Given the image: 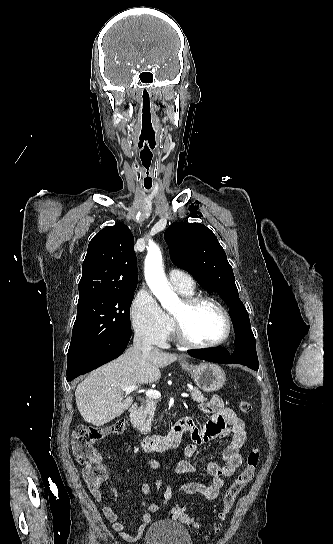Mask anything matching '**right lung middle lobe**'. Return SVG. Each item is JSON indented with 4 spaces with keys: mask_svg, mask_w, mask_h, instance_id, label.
Here are the masks:
<instances>
[{
    "mask_svg": "<svg viewBox=\"0 0 333 544\" xmlns=\"http://www.w3.org/2000/svg\"><path fill=\"white\" fill-rule=\"evenodd\" d=\"M134 291H111L78 302L68 359L110 335L131 330Z\"/></svg>",
    "mask_w": 333,
    "mask_h": 544,
    "instance_id": "1",
    "label": "right lung middle lobe"
}]
</instances>
